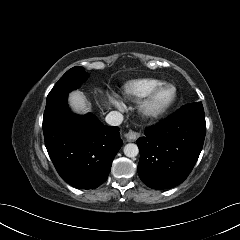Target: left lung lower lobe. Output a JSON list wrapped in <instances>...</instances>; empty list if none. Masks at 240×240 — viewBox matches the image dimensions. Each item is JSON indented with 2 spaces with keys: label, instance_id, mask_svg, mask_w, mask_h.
<instances>
[{
  "label": "left lung lower lobe",
  "instance_id": "obj_1",
  "mask_svg": "<svg viewBox=\"0 0 240 240\" xmlns=\"http://www.w3.org/2000/svg\"><path fill=\"white\" fill-rule=\"evenodd\" d=\"M206 134L201 102L182 106L173 115L145 130L137 140L138 174L153 189H169L182 183L192 171Z\"/></svg>",
  "mask_w": 240,
  "mask_h": 240
}]
</instances>
